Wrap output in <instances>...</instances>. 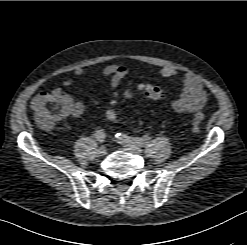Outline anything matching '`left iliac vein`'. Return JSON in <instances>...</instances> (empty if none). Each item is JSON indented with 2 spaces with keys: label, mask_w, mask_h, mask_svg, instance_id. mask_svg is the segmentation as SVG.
I'll use <instances>...</instances> for the list:
<instances>
[{
  "label": "left iliac vein",
  "mask_w": 247,
  "mask_h": 245,
  "mask_svg": "<svg viewBox=\"0 0 247 245\" xmlns=\"http://www.w3.org/2000/svg\"><path fill=\"white\" fill-rule=\"evenodd\" d=\"M122 145L124 147L125 150L133 152V153H141L142 152V148L138 145H132L129 143H125L122 142Z\"/></svg>",
  "instance_id": "1"
}]
</instances>
